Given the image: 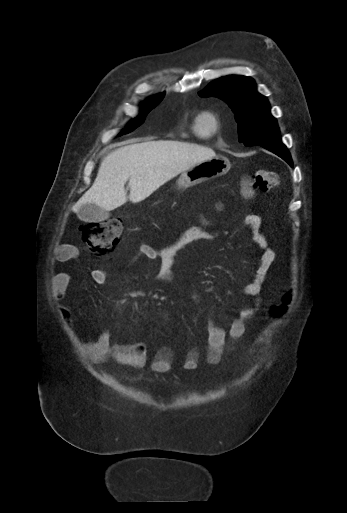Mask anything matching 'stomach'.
Instances as JSON below:
<instances>
[{
  "label": "stomach",
  "instance_id": "0dacf381",
  "mask_svg": "<svg viewBox=\"0 0 347 513\" xmlns=\"http://www.w3.org/2000/svg\"><path fill=\"white\" fill-rule=\"evenodd\" d=\"M231 164L224 156H214L183 171L178 179L179 188L200 184L219 177L230 169Z\"/></svg>",
  "mask_w": 347,
  "mask_h": 513
}]
</instances>
